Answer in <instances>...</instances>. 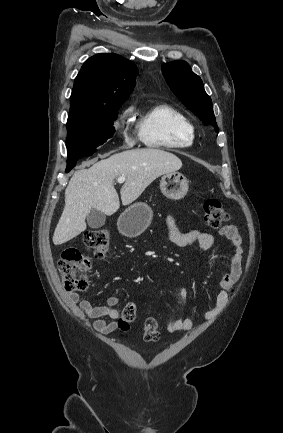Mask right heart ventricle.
Listing matches in <instances>:
<instances>
[{"mask_svg":"<svg viewBox=\"0 0 283 433\" xmlns=\"http://www.w3.org/2000/svg\"><path fill=\"white\" fill-rule=\"evenodd\" d=\"M136 129L148 147L181 149L192 144L191 120L169 105H156L137 115Z\"/></svg>","mask_w":283,"mask_h":433,"instance_id":"obj_1","label":"right heart ventricle"}]
</instances>
